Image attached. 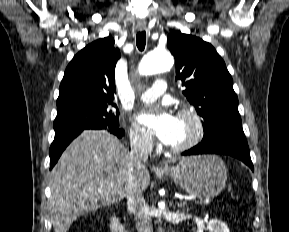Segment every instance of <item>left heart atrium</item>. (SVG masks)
<instances>
[{"instance_id": "39dd6f15", "label": "left heart atrium", "mask_w": 289, "mask_h": 232, "mask_svg": "<svg viewBox=\"0 0 289 232\" xmlns=\"http://www.w3.org/2000/svg\"><path fill=\"white\" fill-rule=\"evenodd\" d=\"M138 123L161 142L171 145L177 134V117L162 106L137 116Z\"/></svg>"}]
</instances>
